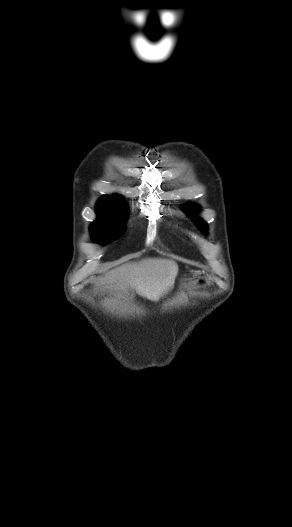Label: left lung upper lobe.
<instances>
[{
	"label": "left lung upper lobe",
	"instance_id": "left-lung-upper-lobe-1",
	"mask_svg": "<svg viewBox=\"0 0 292 527\" xmlns=\"http://www.w3.org/2000/svg\"><path fill=\"white\" fill-rule=\"evenodd\" d=\"M193 212V216L197 222V226L202 230V231H205L206 230V226H205V222H203L201 219H198L195 217V213L196 211H192Z\"/></svg>",
	"mask_w": 292,
	"mask_h": 527
}]
</instances>
